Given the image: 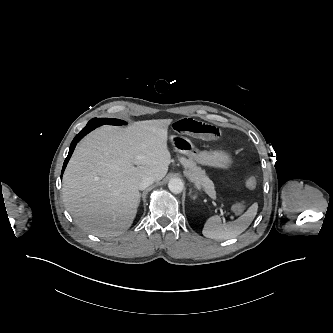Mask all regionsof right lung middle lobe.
Segmentation results:
<instances>
[{"mask_svg": "<svg viewBox=\"0 0 333 333\" xmlns=\"http://www.w3.org/2000/svg\"><path fill=\"white\" fill-rule=\"evenodd\" d=\"M92 121L99 122L101 125L109 124V125H124L126 122L118 119H109V118H93Z\"/></svg>", "mask_w": 333, "mask_h": 333, "instance_id": "right-lung-middle-lobe-1", "label": "right lung middle lobe"}]
</instances>
